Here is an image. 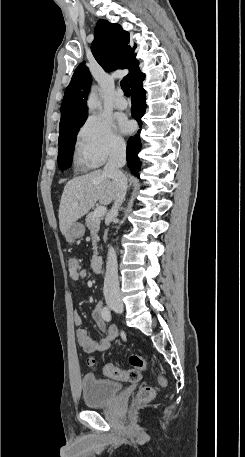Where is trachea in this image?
<instances>
[{
  "label": "trachea",
  "instance_id": "trachea-1",
  "mask_svg": "<svg viewBox=\"0 0 245 457\" xmlns=\"http://www.w3.org/2000/svg\"><path fill=\"white\" fill-rule=\"evenodd\" d=\"M120 85H121L122 90L124 91V94L127 97H129L130 96V89H129V84H128L127 80H122Z\"/></svg>",
  "mask_w": 245,
  "mask_h": 457
}]
</instances>
